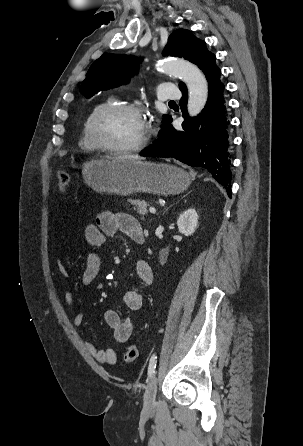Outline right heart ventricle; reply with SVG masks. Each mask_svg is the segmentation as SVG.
Returning <instances> with one entry per match:
<instances>
[{
    "label": "right heart ventricle",
    "instance_id": "e07e8e85",
    "mask_svg": "<svg viewBox=\"0 0 303 446\" xmlns=\"http://www.w3.org/2000/svg\"><path fill=\"white\" fill-rule=\"evenodd\" d=\"M109 102H113L112 98H107L97 104H95L93 106V108L90 110V112L88 113V115L86 116L83 126H82V130H81V135H80V139H79V146L86 151H95L98 148L92 143V141L90 140L89 137V132H88V128H89V122L90 119L92 117V115L95 113V111L100 108L101 106H103L106 103Z\"/></svg>",
    "mask_w": 303,
    "mask_h": 446
}]
</instances>
